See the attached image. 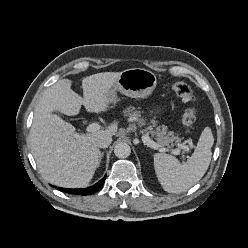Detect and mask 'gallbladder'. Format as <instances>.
Wrapping results in <instances>:
<instances>
[{
    "mask_svg": "<svg viewBox=\"0 0 248 248\" xmlns=\"http://www.w3.org/2000/svg\"><path fill=\"white\" fill-rule=\"evenodd\" d=\"M55 114L60 115V113H58V112H55Z\"/></svg>",
    "mask_w": 248,
    "mask_h": 248,
    "instance_id": "obj_1",
    "label": "gallbladder"
}]
</instances>
